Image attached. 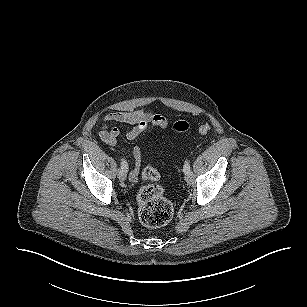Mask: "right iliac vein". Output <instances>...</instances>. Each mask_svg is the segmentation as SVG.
I'll use <instances>...</instances> for the list:
<instances>
[{
	"label": "right iliac vein",
	"mask_w": 307,
	"mask_h": 307,
	"mask_svg": "<svg viewBox=\"0 0 307 307\" xmlns=\"http://www.w3.org/2000/svg\"><path fill=\"white\" fill-rule=\"evenodd\" d=\"M118 178L121 181H125V179H126V172L121 168L118 170Z\"/></svg>",
	"instance_id": "1"
}]
</instances>
